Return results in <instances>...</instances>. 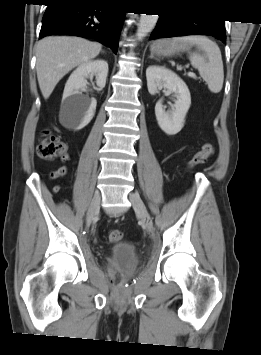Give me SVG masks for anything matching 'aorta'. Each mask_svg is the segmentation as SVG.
<instances>
[{
    "label": "aorta",
    "mask_w": 261,
    "mask_h": 355,
    "mask_svg": "<svg viewBox=\"0 0 261 355\" xmlns=\"http://www.w3.org/2000/svg\"><path fill=\"white\" fill-rule=\"evenodd\" d=\"M158 20V15L141 14L136 37L142 40L148 33H150Z\"/></svg>",
    "instance_id": "obj_1"
}]
</instances>
